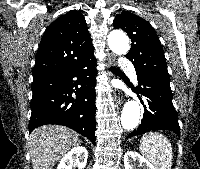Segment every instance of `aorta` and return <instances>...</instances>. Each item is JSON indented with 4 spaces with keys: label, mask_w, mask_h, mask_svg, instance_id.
Returning <instances> with one entry per match:
<instances>
[{
    "label": "aorta",
    "mask_w": 200,
    "mask_h": 169,
    "mask_svg": "<svg viewBox=\"0 0 200 169\" xmlns=\"http://www.w3.org/2000/svg\"><path fill=\"white\" fill-rule=\"evenodd\" d=\"M108 46L113 53L125 55L129 51V39L123 32H111L108 35ZM140 120V105L135 100L127 101L121 113V126L131 131L137 128Z\"/></svg>",
    "instance_id": "762f6f07"
}]
</instances>
